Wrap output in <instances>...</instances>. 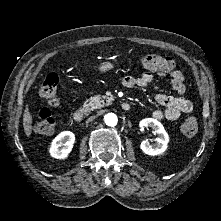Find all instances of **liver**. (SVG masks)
Here are the masks:
<instances>
[{
	"label": "liver",
	"instance_id": "1",
	"mask_svg": "<svg viewBox=\"0 0 221 221\" xmlns=\"http://www.w3.org/2000/svg\"><path fill=\"white\" fill-rule=\"evenodd\" d=\"M23 128L27 137H29L32 133V115L29 111L28 104L24 110L23 114Z\"/></svg>",
	"mask_w": 221,
	"mask_h": 221
}]
</instances>
